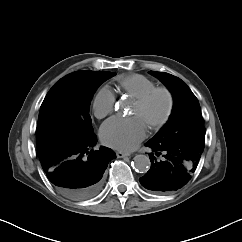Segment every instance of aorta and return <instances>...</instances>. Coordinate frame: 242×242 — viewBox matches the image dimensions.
<instances>
[{"label": "aorta", "instance_id": "1", "mask_svg": "<svg viewBox=\"0 0 242 242\" xmlns=\"http://www.w3.org/2000/svg\"><path fill=\"white\" fill-rule=\"evenodd\" d=\"M134 168L140 173H146L150 167V159L147 155L138 154L134 157Z\"/></svg>", "mask_w": 242, "mask_h": 242}]
</instances>
